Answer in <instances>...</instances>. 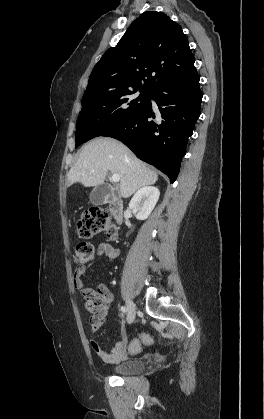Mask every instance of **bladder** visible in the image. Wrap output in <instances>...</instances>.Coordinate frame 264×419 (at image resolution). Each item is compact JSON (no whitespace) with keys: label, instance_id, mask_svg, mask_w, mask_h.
Returning a JSON list of instances; mask_svg holds the SVG:
<instances>
[{"label":"bladder","instance_id":"obj_1","mask_svg":"<svg viewBox=\"0 0 264 419\" xmlns=\"http://www.w3.org/2000/svg\"><path fill=\"white\" fill-rule=\"evenodd\" d=\"M145 369V363L141 360L130 359L116 365L112 372L117 376H129L141 373Z\"/></svg>","mask_w":264,"mask_h":419}]
</instances>
